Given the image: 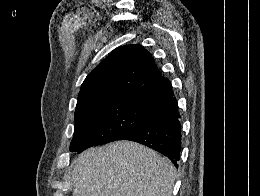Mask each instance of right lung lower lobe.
<instances>
[{"label":"right lung lower lobe","mask_w":260,"mask_h":196,"mask_svg":"<svg viewBox=\"0 0 260 196\" xmlns=\"http://www.w3.org/2000/svg\"><path fill=\"white\" fill-rule=\"evenodd\" d=\"M141 106L153 115V118L118 140H131L144 144L168 157L178 167L182 144L181 116L172 89ZM84 149L86 148L75 151L80 153Z\"/></svg>","instance_id":"1"}]
</instances>
